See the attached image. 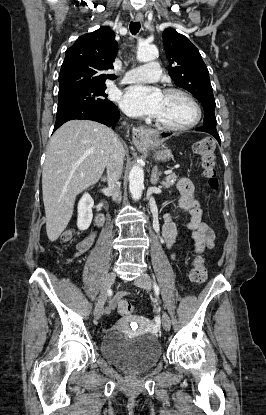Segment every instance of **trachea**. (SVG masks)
<instances>
[{
    "label": "trachea",
    "instance_id": "3493384b",
    "mask_svg": "<svg viewBox=\"0 0 266 415\" xmlns=\"http://www.w3.org/2000/svg\"><path fill=\"white\" fill-rule=\"evenodd\" d=\"M129 27H130L131 33L135 35L140 30L141 25H140V22H131Z\"/></svg>",
    "mask_w": 266,
    "mask_h": 415
}]
</instances>
